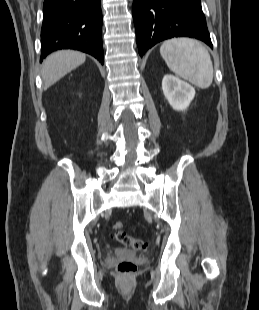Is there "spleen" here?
<instances>
[{
  "label": "spleen",
  "mask_w": 259,
  "mask_h": 310,
  "mask_svg": "<svg viewBox=\"0 0 259 310\" xmlns=\"http://www.w3.org/2000/svg\"><path fill=\"white\" fill-rule=\"evenodd\" d=\"M160 54L169 69L199 88L213 81V64L208 50L197 40L176 38L165 41Z\"/></svg>",
  "instance_id": "spleen-1"
}]
</instances>
